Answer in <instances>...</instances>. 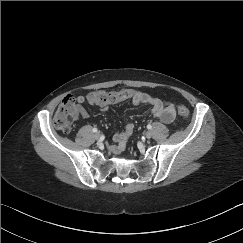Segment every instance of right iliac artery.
Instances as JSON below:
<instances>
[{"label": "right iliac artery", "instance_id": "right-iliac-artery-1", "mask_svg": "<svg viewBox=\"0 0 243 243\" xmlns=\"http://www.w3.org/2000/svg\"><path fill=\"white\" fill-rule=\"evenodd\" d=\"M92 131H93L94 133H96L98 130H97V128H93Z\"/></svg>", "mask_w": 243, "mask_h": 243}]
</instances>
